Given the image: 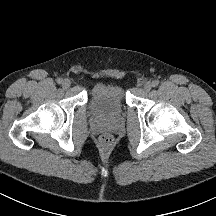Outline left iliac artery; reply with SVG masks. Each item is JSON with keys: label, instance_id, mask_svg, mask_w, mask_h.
I'll list each match as a JSON object with an SVG mask.
<instances>
[{"label": "left iliac artery", "instance_id": "left-iliac-artery-1", "mask_svg": "<svg viewBox=\"0 0 216 216\" xmlns=\"http://www.w3.org/2000/svg\"><path fill=\"white\" fill-rule=\"evenodd\" d=\"M158 84H159L158 80H154V81L152 82V86H153V87H157Z\"/></svg>", "mask_w": 216, "mask_h": 216}]
</instances>
